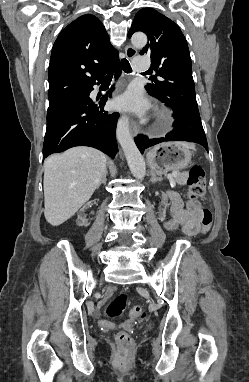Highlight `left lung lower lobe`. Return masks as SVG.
<instances>
[{"label": "left lung lower lobe", "instance_id": "0a47b994", "mask_svg": "<svg viewBox=\"0 0 249 382\" xmlns=\"http://www.w3.org/2000/svg\"><path fill=\"white\" fill-rule=\"evenodd\" d=\"M174 129L163 138L148 139L138 135L135 143L141 153L144 149L166 141H189L202 145L208 151L206 136L202 127L199 112L184 110L174 111Z\"/></svg>", "mask_w": 249, "mask_h": 382}]
</instances>
